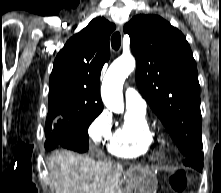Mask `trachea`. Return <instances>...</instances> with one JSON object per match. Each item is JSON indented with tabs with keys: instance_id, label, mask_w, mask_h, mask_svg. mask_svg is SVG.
<instances>
[{
	"instance_id": "1",
	"label": "trachea",
	"mask_w": 221,
	"mask_h": 193,
	"mask_svg": "<svg viewBox=\"0 0 221 193\" xmlns=\"http://www.w3.org/2000/svg\"><path fill=\"white\" fill-rule=\"evenodd\" d=\"M111 45L114 50H118L121 45V37L119 32H115L111 37Z\"/></svg>"
}]
</instances>
